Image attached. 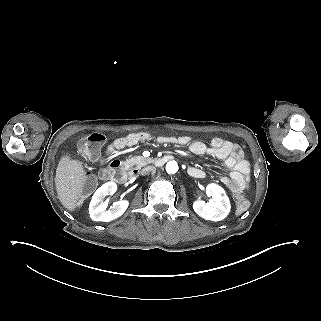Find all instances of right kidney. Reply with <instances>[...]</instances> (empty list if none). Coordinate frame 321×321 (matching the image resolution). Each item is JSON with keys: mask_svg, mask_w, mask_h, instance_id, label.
I'll use <instances>...</instances> for the list:
<instances>
[{"mask_svg": "<svg viewBox=\"0 0 321 321\" xmlns=\"http://www.w3.org/2000/svg\"><path fill=\"white\" fill-rule=\"evenodd\" d=\"M116 190L117 184L115 182H107L96 190L89 205V214L93 221L109 222L120 217L126 211L129 205L127 200L114 202L110 209L106 210L107 204L103 202V199L109 194H114Z\"/></svg>", "mask_w": 321, "mask_h": 321, "instance_id": "1", "label": "right kidney"}]
</instances>
